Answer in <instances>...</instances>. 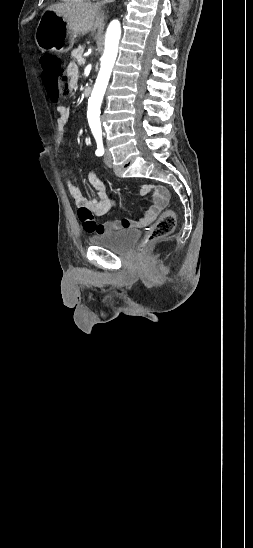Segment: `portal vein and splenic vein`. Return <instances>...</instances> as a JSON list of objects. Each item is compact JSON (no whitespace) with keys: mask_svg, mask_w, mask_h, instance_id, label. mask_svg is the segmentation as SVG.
<instances>
[{"mask_svg":"<svg viewBox=\"0 0 253 548\" xmlns=\"http://www.w3.org/2000/svg\"><path fill=\"white\" fill-rule=\"evenodd\" d=\"M79 62L82 63V64H84V63H85V59H84V58H81V59L79 60Z\"/></svg>","mask_w":253,"mask_h":548,"instance_id":"portal-vein-and-splenic-vein-1","label":"portal vein and splenic vein"}]
</instances>
